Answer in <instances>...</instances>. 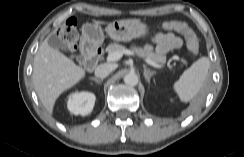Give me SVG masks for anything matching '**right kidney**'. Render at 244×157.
<instances>
[{"label":"right kidney","instance_id":"right-kidney-1","mask_svg":"<svg viewBox=\"0 0 244 157\" xmlns=\"http://www.w3.org/2000/svg\"><path fill=\"white\" fill-rule=\"evenodd\" d=\"M95 99L93 93L75 92L69 96L67 108L74 115L85 116L93 110Z\"/></svg>","mask_w":244,"mask_h":157}]
</instances>
